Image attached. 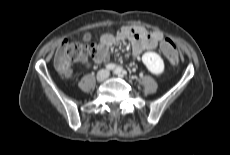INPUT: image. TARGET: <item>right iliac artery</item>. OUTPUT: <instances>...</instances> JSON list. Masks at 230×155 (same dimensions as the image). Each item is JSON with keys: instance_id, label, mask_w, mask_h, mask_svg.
Masks as SVG:
<instances>
[{"instance_id": "1", "label": "right iliac artery", "mask_w": 230, "mask_h": 155, "mask_svg": "<svg viewBox=\"0 0 230 155\" xmlns=\"http://www.w3.org/2000/svg\"><path fill=\"white\" fill-rule=\"evenodd\" d=\"M115 67H116V66H115V64H113V63H109V64L106 65V69H107V70H113V69H115Z\"/></svg>"}]
</instances>
